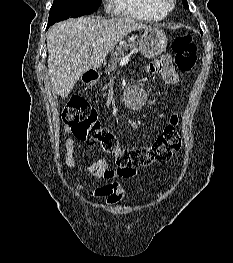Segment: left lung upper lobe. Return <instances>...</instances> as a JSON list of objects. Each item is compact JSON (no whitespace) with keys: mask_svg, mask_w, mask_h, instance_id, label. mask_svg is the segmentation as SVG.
I'll return each instance as SVG.
<instances>
[{"mask_svg":"<svg viewBox=\"0 0 233 263\" xmlns=\"http://www.w3.org/2000/svg\"><path fill=\"white\" fill-rule=\"evenodd\" d=\"M183 3H184V5H185V7L187 8V7H188L187 1L184 0ZM200 32H201V31H200ZM201 33H202V32H201Z\"/></svg>","mask_w":233,"mask_h":263,"instance_id":"5c2ea615","label":"left lung upper lobe"}]
</instances>
